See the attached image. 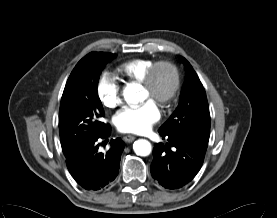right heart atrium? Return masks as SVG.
<instances>
[{
	"mask_svg": "<svg viewBox=\"0 0 277 218\" xmlns=\"http://www.w3.org/2000/svg\"><path fill=\"white\" fill-rule=\"evenodd\" d=\"M98 94L106 106L117 105L122 98L119 84L108 74H103L98 82Z\"/></svg>",
	"mask_w": 277,
	"mask_h": 218,
	"instance_id": "d8ad5b80",
	"label": "right heart atrium"
}]
</instances>
